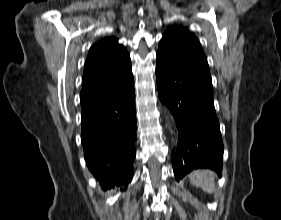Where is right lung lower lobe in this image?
<instances>
[{
    "instance_id": "obj_1",
    "label": "right lung lower lobe",
    "mask_w": 281,
    "mask_h": 220,
    "mask_svg": "<svg viewBox=\"0 0 281 220\" xmlns=\"http://www.w3.org/2000/svg\"><path fill=\"white\" fill-rule=\"evenodd\" d=\"M80 103L86 165L103 188L127 186L136 155L134 79L118 89L82 97Z\"/></svg>"
}]
</instances>
